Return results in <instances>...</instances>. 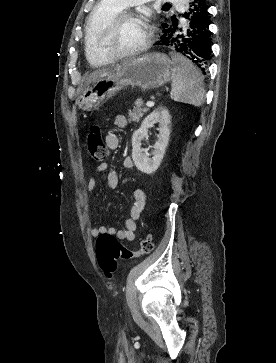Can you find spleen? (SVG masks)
I'll return each mask as SVG.
<instances>
[{"label": "spleen", "mask_w": 276, "mask_h": 363, "mask_svg": "<svg viewBox=\"0 0 276 363\" xmlns=\"http://www.w3.org/2000/svg\"><path fill=\"white\" fill-rule=\"evenodd\" d=\"M171 57L173 62L171 99L197 107L201 106L205 90L200 72L182 55L174 53Z\"/></svg>", "instance_id": "1"}]
</instances>
